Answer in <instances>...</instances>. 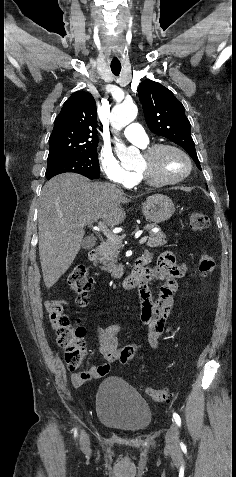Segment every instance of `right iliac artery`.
Here are the masks:
<instances>
[{
	"instance_id": "1",
	"label": "right iliac artery",
	"mask_w": 236,
	"mask_h": 477,
	"mask_svg": "<svg viewBox=\"0 0 236 477\" xmlns=\"http://www.w3.org/2000/svg\"><path fill=\"white\" fill-rule=\"evenodd\" d=\"M74 435L76 436V429H75Z\"/></svg>"
}]
</instances>
